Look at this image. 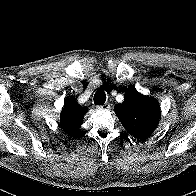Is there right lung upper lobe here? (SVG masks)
<instances>
[{
    "mask_svg": "<svg viewBox=\"0 0 196 196\" xmlns=\"http://www.w3.org/2000/svg\"><path fill=\"white\" fill-rule=\"evenodd\" d=\"M68 114H70V111L68 108H65L64 113L62 114V117H61V122L64 127L70 129L72 127V125L69 122Z\"/></svg>",
    "mask_w": 196,
    "mask_h": 196,
    "instance_id": "cb5924a9",
    "label": "right lung upper lobe"
}]
</instances>
